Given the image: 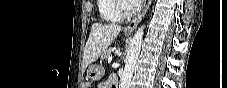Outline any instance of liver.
Returning <instances> with one entry per match:
<instances>
[{
	"mask_svg": "<svg viewBox=\"0 0 227 88\" xmlns=\"http://www.w3.org/2000/svg\"><path fill=\"white\" fill-rule=\"evenodd\" d=\"M121 31V26L117 24L94 23L91 27L89 38L84 48L83 64L88 66L96 61L105 51Z\"/></svg>",
	"mask_w": 227,
	"mask_h": 88,
	"instance_id": "1",
	"label": "liver"
}]
</instances>
